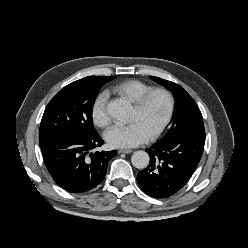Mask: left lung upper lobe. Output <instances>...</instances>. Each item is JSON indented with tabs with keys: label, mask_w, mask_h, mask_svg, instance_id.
<instances>
[{
	"label": "left lung upper lobe",
	"mask_w": 248,
	"mask_h": 248,
	"mask_svg": "<svg viewBox=\"0 0 248 248\" xmlns=\"http://www.w3.org/2000/svg\"><path fill=\"white\" fill-rule=\"evenodd\" d=\"M151 78L170 90L177 101L173 124L161 140L165 141L181 135H194L205 138L201 111L186 90L174 82L154 76H151Z\"/></svg>",
	"instance_id": "5c2ea615"
}]
</instances>
